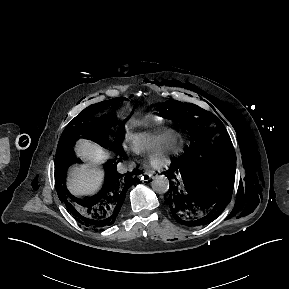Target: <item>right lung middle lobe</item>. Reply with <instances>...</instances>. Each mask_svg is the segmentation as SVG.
<instances>
[{"mask_svg":"<svg viewBox=\"0 0 289 289\" xmlns=\"http://www.w3.org/2000/svg\"><path fill=\"white\" fill-rule=\"evenodd\" d=\"M123 99L115 98L91 105L72 119L64 129L58 143L55 157V174L60 176L70 165L67 156L72 152L75 140L79 138L90 139L104 147L110 144V137L115 135L111 129V126L115 123V118L112 113H102L108 106L115 105Z\"/></svg>","mask_w":289,"mask_h":289,"instance_id":"dd1d6c3e","label":"right lung middle lobe"}]
</instances>
